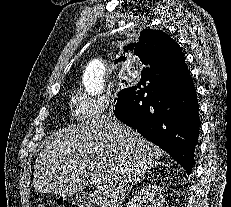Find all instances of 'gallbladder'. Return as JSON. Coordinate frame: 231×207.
Here are the masks:
<instances>
[{
  "mask_svg": "<svg viewBox=\"0 0 231 207\" xmlns=\"http://www.w3.org/2000/svg\"><path fill=\"white\" fill-rule=\"evenodd\" d=\"M74 199L77 202L85 204L87 207H93L95 204V201L93 200L92 194L85 192V191H79L75 194Z\"/></svg>",
  "mask_w": 231,
  "mask_h": 207,
  "instance_id": "bac80fb5",
  "label": "gallbladder"
}]
</instances>
